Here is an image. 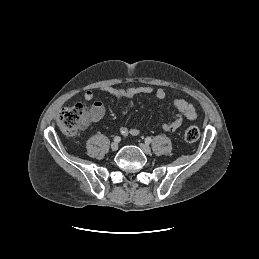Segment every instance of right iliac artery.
I'll use <instances>...</instances> for the list:
<instances>
[{
    "label": "right iliac artery",
    "mask_w": 259,
    "mask_h": 259,
    "mask_svg": "<svg viewBox=\"0 0 259 259\" xmlns=\"http://www.w3.org/2000/svg\"><path fill=\"white\" fill-rule=\"evenodd\" d=\"M121 141V137L116 136L114 137V142L119 143Z\"/></svg>",
    "instance_id": "82829eb1"
}]
</instances>
